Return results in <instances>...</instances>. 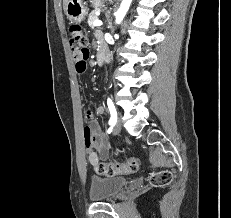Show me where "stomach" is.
I'll use <instances>...</instances> for the list:
<instances>
[{"mask_svg": "<svg viewBox=\"0 0 231 218\" xmlns=\"http://www.w3.org/2000/svg\"><path fill=\"white\" fill-rule=\"evenodd\" d=\"M94 7H100L102 0H90ZM88 13L86 3L83 0H69L66 5L65 14L67 18L76 23H81Z\"/></svg>", "mask_w": 231, "mask_h": 218, "instance_id": "obj_1", "label": "stomach"}]
</instances>
